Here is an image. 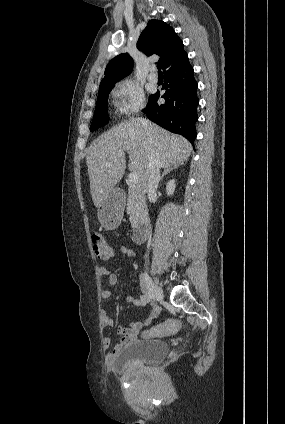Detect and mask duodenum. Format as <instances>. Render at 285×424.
<instances>
[{"instance_id": "duodenum-1", "label": "duodenum", "mask_w": 285, "mask_h": 424, "mask_svg": "<svg viewBox=\"0 0 285 424\" xmlns=\"http://www.w3.org/2000/svg\"><path fill=\"white\" fill-rule=\"evenodd\" d=\"M149 232V224L141 223L133 231L132 238L136 244H142L146 241Z\"/></svg>"}]
</instances>
